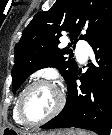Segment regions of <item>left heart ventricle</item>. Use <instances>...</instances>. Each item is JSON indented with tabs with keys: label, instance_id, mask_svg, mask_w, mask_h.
Instances as JSON below:
<instances>
[{
	"label": "left heart ventricle",
	"instance_id": "1",
	"mask_svg": "<svg viewBox=\"0 0 112 135\" xmlns=\"http://www.w3.org/2000/svg\"><path fill=\"white\" fill-rule=\"evenodd\" d=\"M59 96L55 88L38 85L32 88L25 98V111L33 119L42 118L57 106Z\"/></svg>",
	"mask_w": 112,
	"mask_h": 135
}]
</instances>
